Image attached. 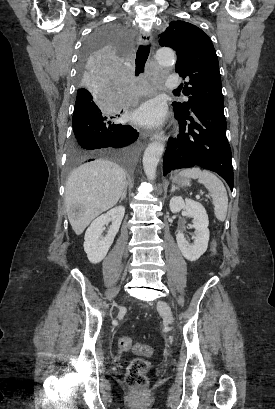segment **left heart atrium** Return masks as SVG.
<instances>
[{"instance_id": "39dd6f15", "label": "left heart atrium", "mask_w": 275, "mask_h": 409, "mask_svg": "<svg viewBox=\"0 0 275 409\" xmlns=\"http://www.w3.org/2000/svg\"><path fill=\"white\" fill-rule=\"evenodd\" d=\"M163 119V110L154 102L142 105L133 115V121L147 126H155Z\"/></svg>"}]
</instances>
